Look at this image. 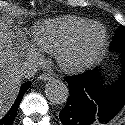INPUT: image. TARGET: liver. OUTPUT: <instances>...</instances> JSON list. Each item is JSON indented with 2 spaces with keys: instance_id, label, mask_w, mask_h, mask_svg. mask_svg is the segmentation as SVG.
I'll return each mask as SVG.
<instances>
[{
  "instance_id": "liver-1",
  "label": "liver",
  "mask_w": 125,
  "mask_h": 125,
  "mask_svg": "<svg viewBox=\"0 0 125 125\" xmlns=\"http://www.w3.org/2000/svg\"><path fill=\"white\" fill-rule=\"evenodd\" d=\"M20 79V63L17 54L12 50L10 32L0 23V116L15 101Z\"/></svg>"
}]
</instances>
